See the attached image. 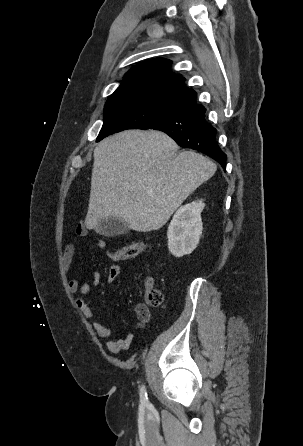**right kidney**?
<instances>
[{
    "instance_id": "right-kidney-1",
    "label": "right kidney",
    "mask_w": 303,
    "mask_h": 446,
    "mask_svg": "<svg viewBox=\"0 0 303 446\" xmlns=\"http://www.w3.org/2000/svg\"><path fill=\"white\" fill-rule=\"evenodd\" d=\"M205 204L202 200L181 206L174 214L168 227V248L175 257L193 252L202 235L201 212Z\"/></svg>"
}]
</instances>
